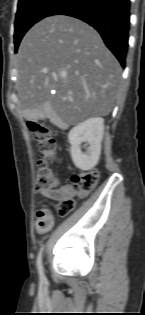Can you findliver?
Returning <instances> with one entry per match:
<instances>
[{
	"mask_svg": "<svg viewBox=\"0 0 145 315\" xmlns=\"http://www.w3.org/2000/svg\"><path fill=\"white\" fill-rule=\"evenodd\" d=\"M16 69L23 116L66 125L107 116L122 70L95 29L65 15L47 17L27 32Z\"/></svg>",
	"mask_w": 145,
	"mask_h": 315,
	"instance_id": "obj_1",
	"label": "liver"
}]
</instances>
